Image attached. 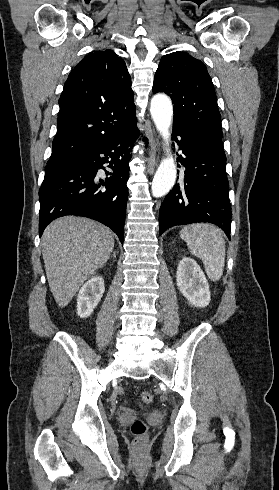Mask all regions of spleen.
I'll list each match as a JSON object with an SVG mask.
<instances>
[{
  "mask_svg": "<svg viewBox=\"0 0 279 490\" xmlns=\"http://www.w3.org/2000/svg\"><path fill=\"white\" fill-rule=\"evenodd\" d=\"M180 236L187 242L191 254L202 260L209 280H220L224 272L226 246L219 228L212 224H190L181 230Z\"/></svg>",
  "mask_w": 279,
  "mask_h": 490,
  "instance_id": "spleen-1",
  "label": "spleen"
}]
</instances>
